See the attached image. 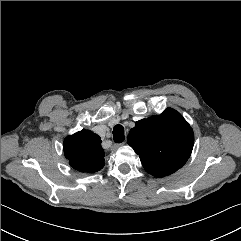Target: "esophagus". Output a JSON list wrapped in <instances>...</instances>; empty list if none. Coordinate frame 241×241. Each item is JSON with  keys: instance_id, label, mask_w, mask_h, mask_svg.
<instances>
[{"instance_id": "esophagus-1", "label": "esophagus", "mask_w": 241, "mask_h": 241, "mask_svg": "<svg viewBox=\"0 0 241 241\" xmlns=\"http://www.w3.org/2000/svg\"><path fill=\"white\" fill-rule=\"evenodd\" d=\"M122 144H124V142H122V143H120V144H118V143H115V144H113L112 146H111V150L112 151H115L120 145H122Z\"/></svg>"}]
</instances>
